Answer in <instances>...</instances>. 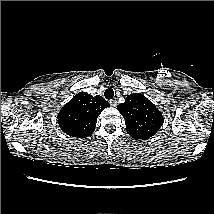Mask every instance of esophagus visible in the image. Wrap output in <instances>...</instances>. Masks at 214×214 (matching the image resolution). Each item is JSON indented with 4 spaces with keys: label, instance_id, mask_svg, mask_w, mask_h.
Instances as JSON below:
<instances>
[{
    "label": "esophagus",
    "instance_id": "obj_1",
    "mask_svg": "<svg viewBox=\"0 0 214 214\" xmlns=\"http://www.w3.org/2000/svg\"><path fill=\"white\" fill-rule=\"evenodd\" d=\"M111 106H116L117 105V100L116 99H112L109 101Z\"/></svg>",
    "mask_w": 214,
    "mask_h": 214
}]
</instances>
